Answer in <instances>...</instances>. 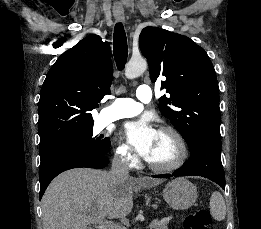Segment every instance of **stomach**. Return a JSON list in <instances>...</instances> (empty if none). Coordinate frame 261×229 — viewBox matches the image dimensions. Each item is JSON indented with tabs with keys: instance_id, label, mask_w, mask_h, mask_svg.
<instances>
[{
	"instance_id": "1",
	"label": "stomach",
	"mask_w": 261,
	"mask_h": 229,
	"mask_svg": "<svg viewBox=\"0 0 261 229\" xmlns=\"http://www.w3.org/2000/svg\"><path fill=\"white\" fill-rule=\"evenodd\" d=\"M163 197L172 209H179V211H185L194 205L198 193L197 187L187 181V179H174L166 185L163 191Z\"/></svg>"
}]
</instances>
